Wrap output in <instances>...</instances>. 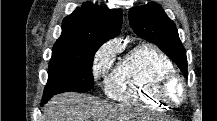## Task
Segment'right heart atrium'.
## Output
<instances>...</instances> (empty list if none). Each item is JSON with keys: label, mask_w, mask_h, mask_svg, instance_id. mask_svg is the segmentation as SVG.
Wrapping results in <instances>:
<instances>
[{"label": "right heart atrium", "mask_w": 217, "mask_h": 121, "mask_svg": "<svg viewBox=\"0 0 217 121\" xmlns=\"http://www.w3.org/2000/svg\"><path fill=\"white\" fill-rule=\"evenodd\" d=\"M116 50L113 44L108 43L96 53L93 62V74L95 77H99L105 71Z\"/></svg>", "instance_id": "1"}]
</instances>
